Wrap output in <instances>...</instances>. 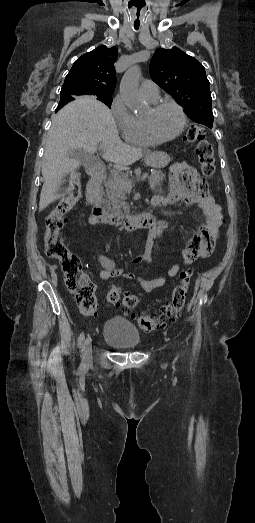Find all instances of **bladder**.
Instances as JSON below:
<instances>
[{"label": "bladder", "instance_id": "1", "mask_svg": "<svg viewBox=\"0 0 255 523\" xmlns=\"http://www.w3.org/2000/svg\"><path fill=\"white\" fill-rule=\"evenodd\" d=\"M104 329V341L113 346L133 349L140 345L138 331L126 319H107Z\"/></svg>", "mask_w": 255, "mask_h": 523}]
</instances>
